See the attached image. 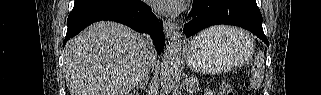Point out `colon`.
<instances>
[{
    "instance_id": "1",
    "label": "colon",
    "mask_w": 321,
    "mask_h": 95,
    "mask_svg": "<svg viewBox=\"0 0 321 95\" xmlns=\"http://www.w3.org/2000/svg\"><path fill=\"white\" fill-rule=\"evenodd\" d=\"M219 94L221 95H234L233 88L228 83H223L220 87Z\"/></svg>"
}]
</instances>
